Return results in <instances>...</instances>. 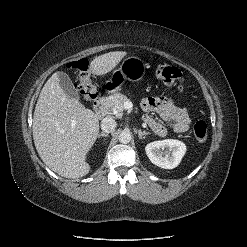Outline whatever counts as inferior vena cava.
Returning a JSON list of instances; mask_svg holds the SVG:
<instances>
[{"instance_id": "602c4592", "label": "inferior vena cava", "mask_w": 247, "mask_h": 247, "mask_svg": "<svg viewBox=\"0 0 247 247\" xmlns=\"http://www.w3.org/2000/svg\"><path fill=\"white\" fill-rule=\"evenodd\" d=\"M116 128V122L113 118L111 117H105L101 121V129L105 133H111L115 130Z\"/></svg>"}]
</instances>
